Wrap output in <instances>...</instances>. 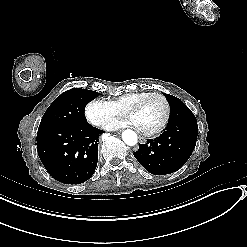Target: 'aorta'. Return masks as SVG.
<instances>
[{
	"mask_svg": "<svg viewBox=\"0 0 247 247\" xmlns=\"http://www.w3.org/2000/svg\"><path fill=\"white\" fill-rule=\"evenodd\" d=\"M122 139L124 143L129 146H134L138 142L137 134L133 130H130V129L123 131Z\"/></svg>",
	"mask_w": 247,
	"mask_h": 247,
	"instance_id": "762f6f07",
	"label": "aorta"
}]
</instances>
